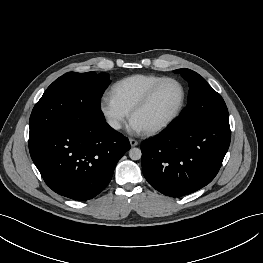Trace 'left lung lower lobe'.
<instances>
[{
	"mask_svg": "<svg viewBox=\"0 0 263 263\" xmlns=\"http://www.w3.org/2000/svg\"><path fill=\"white\" fill-rule=\"evenodd\" d=\"M230 139L229 118L211 120L189 131L170 124L141 144L144 177L167 196L193 193L217 175Z\"/></svg>",
	"mask_w": 263,
	"mask_h": 263,
	"instance_id": "1",
	"label": "left lung lower lobe"
}]
</instances>
